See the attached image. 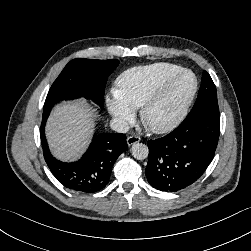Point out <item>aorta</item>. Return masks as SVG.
I'll use <instances>...</instances> for the list:
<instances>
[{
	"mask_svg": "<svg viewBox=\"0 0 251 251\" xmlns=\"http://www.w3.org/2000/svg\"><path fill=\"white\" fill-rule=\"evenodd\" d=\"M131 153L135 159L144 160L148 157L149 149L143 143H136L132 146Z\"/></svg>",
	"mask_w": 251,
	"mask_h": 251,
	"instance_id": "762f6f07",
	"label": "aorta"
}]
</instances>
